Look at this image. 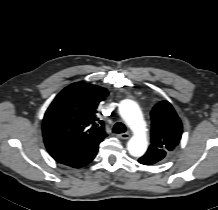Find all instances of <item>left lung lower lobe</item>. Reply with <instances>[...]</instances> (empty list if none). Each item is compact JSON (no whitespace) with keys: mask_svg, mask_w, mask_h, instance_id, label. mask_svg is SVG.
Returning a JSON list of instances; mask_svg holds the SVG:
<instances>
[{"mask_svg":"<svg viewBox=\"0 0 218 210\" xmlns=\"http://www.w3.org/2000/svg\"><path fill=\"white\" fill-rule=\"evenodd\" d=\"M139 162H140L141 164H143V163H142L143 161H142L141 159H139Z\"/></svg>","mask_w":218,"mask_h":210,"instance_id":"0a47b994","label":"left lung lower lobe"}]
</instances>
